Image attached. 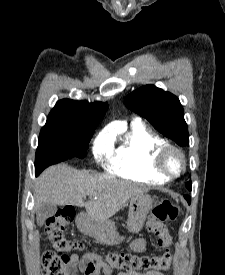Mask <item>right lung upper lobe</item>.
Returning <instances> with one entry per match:
<instances>
[{"instance_id":"1","label":"right lung upper lobe","mask_w":225,"mask_h":275,"mask_svg":"<svg viewBox=\"0 0 225 275\" xmlns=\"http://www.w3.org/2000/svg\"><path fill=\"white\" fill-rule=\"evenodd\" d=\"M108 108L107 103H89L63 99L56 103L48 115L47 122H71L98 125Z\"/></svg>"}]
</instances>
